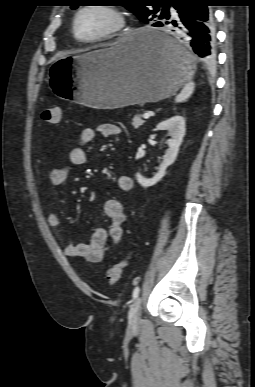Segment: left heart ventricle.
<instances>
[{
  "instance_id": "obj_1",
  "label": "left heart ventricle",
  "mask_w": 255,
  "mask_h": 387,
  "mask_svg": "<svg viewBox=\"0 0 255 387\" xmlns=\"http://www.w3.org/2000/svg\"><path fill=\"white\" fill-rule=\"evenodd\" d=\"M113 22V17L106 12L88 10L79 17L77 28L80 36L91 38L109 29Z\"/></svg>"
}]
</instances>
